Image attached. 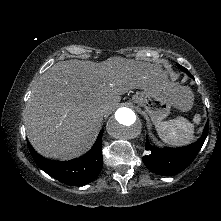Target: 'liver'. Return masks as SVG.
I'll return each mask as SVG.
<instances>
[{
    "mask_svg": "<svg viewBox=\"0 0 221 221\" xmlns=\"http://www.w3.org/2000/svg\"><path fill=\"white\" fill-rule=\"evenodd\" d=\"M166 86V74L157 64L122 57L57 62L32 89L25 111L28 140L46 158H76L95 140L103 117L99 109L111 112L129 90L166 94ZM173 104L179 108L177 101Z\"/></svg>",
    "mask_w": 221,
    "mask_h": 221,
    "instance_id": "obj_1",
    "label": "liver"
}]
</instances>
